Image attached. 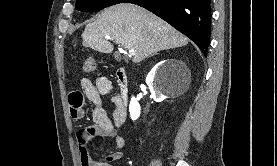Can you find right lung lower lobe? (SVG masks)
<instances>
[{
	"label": "right lung lower lobe",
	"mask_w": 277,
	"mask_h": 166,
	"mask_svg": "<svg viewBox=\"0 0 277 166\" xmlns=\"http://www.w3.org/2000/svg\"><path fill=\"white\" fill-rule=\"evenodd\" d=\"M153 12L195 42L206 55L211 32V0H123Z\"/></svg>",
	"instance_id": "right-lung-lower-lobe-1"
}]
</instances>
